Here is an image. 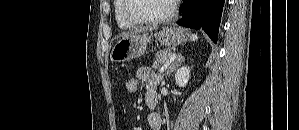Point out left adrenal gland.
Masks as SVG:
<instances>
[{
	"label": "left adrenal gland",
	"instance_id": "1",
	"mask_svg": "<svg viewBox=\"0 0 299 130\" xmlns=\"http://www.w3.org/2000/svg\"><path fill=\"white\" fill-rule=\"evenodd\" d=\"M184 60V57L181 54H179L173 66L166 72V75L171 74L176 67H178L182 62H184Z\"/></svg>",
	"mask_w": 299,
	"mask_h": 130
}]
</instances>
